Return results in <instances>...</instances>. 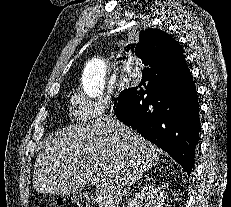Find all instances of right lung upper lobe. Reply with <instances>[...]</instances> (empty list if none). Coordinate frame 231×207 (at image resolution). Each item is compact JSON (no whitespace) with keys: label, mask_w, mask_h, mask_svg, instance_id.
Returning <instances> with one entry per match:
<instances>
[{"label":"right lung upper lobe","mask_w":231,"mask_h":207,"mask_svg":"<svg viewBox=\"0 0 231 207\" xmlns=\"http://www.w3.org/2000/svg\"><path fill=\"white\" fill-rule=\"evenodd\" d=\"M139 41L126 46L125 51L135 52L147 67L157 66L166 71L180 70L187 65L182 46L166 32L150 29L146 36H140Z\"/></svg>","instance_id":"1"}]
</instances>
